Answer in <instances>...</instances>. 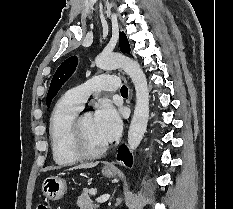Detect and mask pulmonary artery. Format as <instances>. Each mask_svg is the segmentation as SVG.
<instances>
[{
  "mask_svg": "<svg viewBox=\"0 0 233 209\" xmlns=\"http://www.w3.org/2000/svg\"><path fill=\"white\" fill-rule=\"evenodd\" d=\"M119 89V78L114 75H98L87 82L72 88L67 93V99L77 106L82 108L87 98L92 93L101 91H117Z\"/></svg>",
  "mask_w": 233,
  "mask_h": 209,
  "instance_id": "1",
  "label": "pulmonary artery"
}]
</instances>
